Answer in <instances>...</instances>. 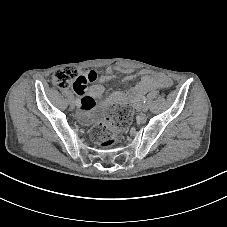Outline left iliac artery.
Returning a JSON list of instances; mask_svg holds the SVG:
<instances>
[{
	"instance_id": "1",
	"label": "left iliac artery",
	"mask_w": 227,
	"mask_h": 227,
	"mask_svg": "<svg viewBox=\"0 0 227 227\" xmlns=\"http://www.w3.org/2000/svg\"><path fill=\"white\" fill-rule=\"evenodd\" d=\"M147 101V98L144 96L142 97V102L145 103Z\"/></svg>"
}]
</instances>
